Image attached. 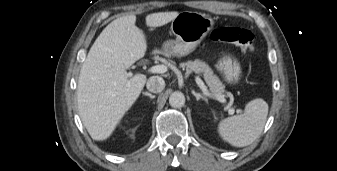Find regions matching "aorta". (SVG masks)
I'll list each match as a JSON object with an SVG mask.
<instances>
[{
    "instance_id": "aorta-1",
    "label": "aorta",
    "mask_w": 337,
    "mask_h": 171,
    "mask_svg": "<svg viewBox=\"0 0 337 171\" xmlns=\"http://www.w3.org/2000/svg\"><path fill=\"white\" fill-rule=\"evenodd\" d=\"M169 104L173 108H181L185 104V96L182 92L175 91L169 97Z\"/></svg>"
}]
</instances>
